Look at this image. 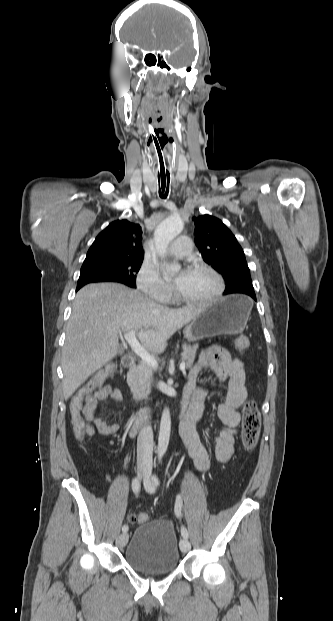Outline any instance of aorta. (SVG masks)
<instances>
[{
	"label": "aorta",
	"instance_id": "aorta-1",
	"mask_svg": "<svg viewBox=\"0 0 333 621\" xmlns=\"http://www.w3.org/2000/svg\"><path fill=\"white\" fill-rule=\"evenodd\" d=\"M184 228V222L179 216H170L163 220L155 229L154 239L155 246L159 255L163 258L166 254L169 243L179 235ZM180 270L179 265L172 268V272ZM171 431V416L169 408H164L158 437L157 453L159 456L164 455L167 450Z\"/></svg>",
	"mask_w": 333,
	"mask_h": 621
}]
</instances>
